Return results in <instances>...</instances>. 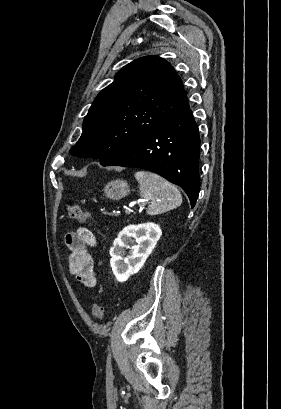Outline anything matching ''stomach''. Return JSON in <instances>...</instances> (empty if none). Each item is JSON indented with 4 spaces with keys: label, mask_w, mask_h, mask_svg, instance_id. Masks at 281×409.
<instances>
[{
    "label": "stomach",
    "mask_w": 281,
    "mask_h": 409,
    "mask_svg": "<svg viewBox=\"0 0 281 409\" xmlns=\"http://www.w3.org/2000/svg\"><path fill=\"white\" fill-rule=\"evenodd\" d=\"M105 192V196L107 198H113V200H119V198H123V196H127L130 192V186L127 180H111V182H107L103 188Z\"/></svg>",
    "instance_id": "stomach-1"
}]
</instances>
